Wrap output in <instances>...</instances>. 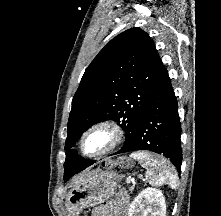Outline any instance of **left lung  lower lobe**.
I'll list each match as a JSON object with an SVG mask.
<instances>
[{"mask_svg": "<svg viewBox=\"0 0 221 216\" xmlns=\"http://www.w3.org/2000/svg\"><path fill=\"white\" fill-rule=\"evenodd\" d=\"M180 136L181 126L176 97L167 70L161 64L155 77L149 104L136 125L134 136L115 154L138 150L153 151L169 158L180 171L182 164ZM94 162L87 160L84 169Z\"/></svg>", "mask_w": 221, "mask_h": 216, "instance_id": "left-lung-lower-lobe-1", "label": "left lung lower lobe"}]
</instances>
